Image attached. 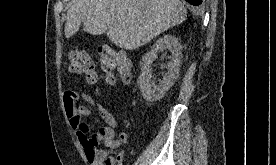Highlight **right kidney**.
<instances>
[{
  "instance_id": "obj_1",
  "label": "right kidney",
  "mask_w": 276,
  "mask_h": 165,
  "mask_svg": "<svg viewBox=\"0 0 276 165\" xmlns=\"http://www.w3.org/2000/svg\"><path fill=\"white\" fill-rule=\"evenodd\" d=\"M168 50L171 53L170 61L164 67L168 70L162 80L155 84L151 81V65L157 58L159 51ZM182 59V46L178 38L173 35H164L152 46L151 51L142 57L141 75L138 78V85L143 98L148 102L162 99L166 92L174 85L179 76Z\"/></svg>"
}]
</instances>
